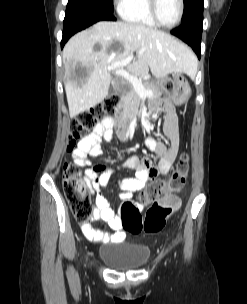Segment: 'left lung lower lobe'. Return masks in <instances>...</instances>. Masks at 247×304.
Wrapping results in <instances>:
<instances>
[{
    "instance_id": "1",
    "label": "left lung lower lobe",
    "mask_w": 247,
    "mask_h": 304,
    "mask_svg": "<svg viewBox=\"0 0 247 304\" xmlns=\"http://www.w3.org/2000/svg\"><path fill=\"white\" fill-rule=\"evenodd\" d=\"M203 15L197 16L187 23L181 24L180 27L171 31V34L188 43L200 59L201 50L200 42L202 36Z\"/></svg>"
}]
</instances>
